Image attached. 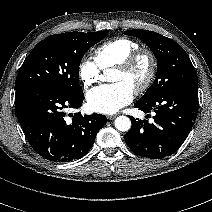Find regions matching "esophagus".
Here are the masks:
<instances>
[{
  "mask_svg": "<svg viewBox=\"0 0 212 212\" xmlns=\"http://www.w3.org/2000/svg\"><path fill=\"white\" fill-rule=\"evenodd\" d=\"M107 118H108L109 120H113V119L116 118V115H108Z\"/></svg>",
  "mask_w": 212,
  "mask_h": 212,
  "instance_id": "1",
  "label": "esophagus"
}]
</instances>
